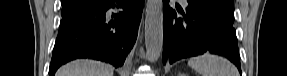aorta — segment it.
<instances>
[{
    "label": "aorta",
    "mask_w": 287,
    "mask_h": 76,
    "mask_svg": "<svg viewBox=\"0 0 287 76\" xmlns=\"http://www.w3.org/2000/svg\"><path fill=\"white\" fill-rule=\"evenodd\" d=\"M163 4L162 0H150L145 18L146 56L150 62L159 59L163 48Z\"/></svg>",
    "instance_id": "aorta-1"
}]
</instances>
